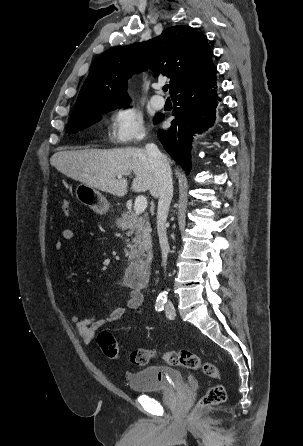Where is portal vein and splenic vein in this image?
<instances>
[{
	"mask_svg": "<svg viewBox=\"0 0 303 446\" xmlns=\"http://www.w3.org/2000/svg\"><path fill=\"white\" fill-rule=\"evenodd\" d=\"M122 176L119 175L118 178H121ZM147 208V199L145 196L141 195L138 196L134 203V211L136 214L143 213Z\"/></svg>",
	"mask_w": 303,
	"mask_h": 446,
	"instance_id": "1",
	"label": "portal vein and splenic vein"
}]
</instances>
